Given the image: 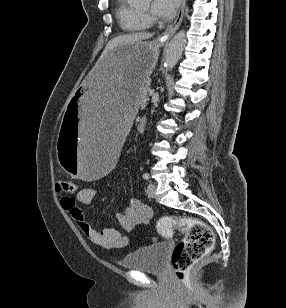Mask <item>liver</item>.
Wrapping results in <instances>:
<instances>
[{
	"instance_id": "obj_1",
	"label": "liver",
	"mask_w": 286,
	"mask_h": 308,
	"mask_svg": "<svg viewBox=\"0 0 286 308\" xmlns=\"http://www.w3.org/2000/svg\"><path fill=\"white\" fill-rule=\"evenodd\" d=\"M153 35H154L153 33H133V34H127V35H121V36L114 37L106 45L96 65L99 63L100 60H102L106 55H108V53L111 50L119 46L150 39L151 37H153Z\"/></svg>"
}]
</instances>
